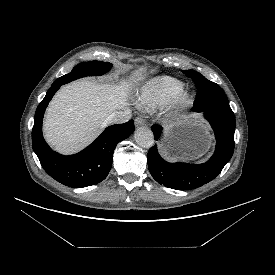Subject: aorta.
Returning <instances> with one entry per match:
<instances>
[{
  "mask_svg": "<svg viewBox=\"0 0 275 275\" xmlns=\"http://www.w3.org/2000/svg\"><path fill=\"white\" fill-rule=\"evenodd\" d=\"M134 139L136 143L143 148H150L154 144V135L150 128L139 127L135 131Z\"/></svg>",
  "mask_w": 275,
  "mask_h": 275,
  "instance_id": "1",
  "label": "aorta"
}]
</instances>
